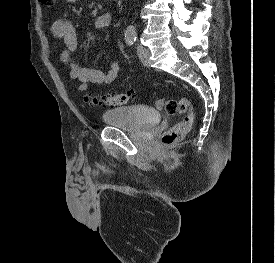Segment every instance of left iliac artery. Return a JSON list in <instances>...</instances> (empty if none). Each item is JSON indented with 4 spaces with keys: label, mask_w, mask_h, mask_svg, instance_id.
<instances>
[{
    "label": "left iliac artery",
    "mask_w": 275,
    "mask_h": 263,
    "mask_svg": "<svg viewBox=\"0 0 275 263\" xmlns=\"http://www.w3.org/2000/svg\"><path fill=\"white\" fill-rule=\"evenodd\" d=\"M136 38H137L136 28L134 26L127 27L125 32V40L127 44L132 45L136 41Z\"/></svg>",
    "instance_id": "left-iliac-artery-1"
}]
</instances>
